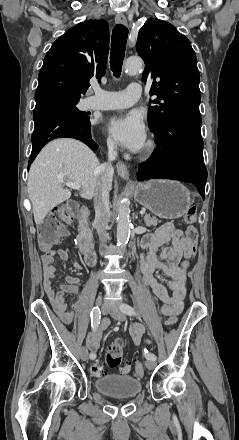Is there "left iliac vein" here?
Listing matches in <instances>:
<instances>
[{"label": "left iliac vein", "mask_w": 239, "mask_h": 440, "mask_svg": "<svg viewBox=\"0 0 239 440\" xmlns=\"http://www.w3.org/2000/svg\"><path fill=\"white\" fill-rule=\"evenodd\" d=\"M109 314L114 318V319H116V320H118V321H124L125 320V314L121 311V309L119 308V307H117V306H111L110 308H109ZM156 365H157V363H156V360H148L147 362H146V367L149 369V370H153V369H155V367H156Z\"/></svg>", "instance_id": "obj_1"}]
</instances>
